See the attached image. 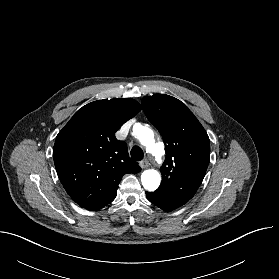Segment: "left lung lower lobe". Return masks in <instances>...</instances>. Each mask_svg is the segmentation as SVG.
I'll use <instances>...</instances> for the list:
<instances>
[{
  "instance_id": "1",
  "label": "left lung lower lobe",
  "mask_w": 279,
  "mask_h": 279,
  "mask_svg": "<svg viewBox=\"0 0 279 279\" xmlns=\"http://www.w3.org/2000/svg\"><path fill=\"white\" fill-rule=\"evenodd\" d=\"M146 196L151 203L155 204L164 211L175 210L186 203L182 200L164 198L152 192H146Z\"/></svg>"
}]
</instances>
